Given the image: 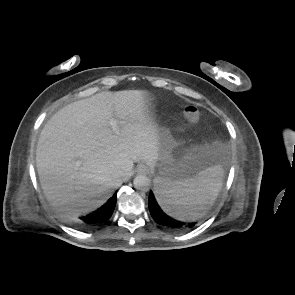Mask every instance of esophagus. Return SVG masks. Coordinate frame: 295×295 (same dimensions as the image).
I'll return each instance as SVG.
<instances>
[{
  "label": "esophagus",
  "instance_id": "1",
  "mask_svg": "<svg viewBox=\"0 0 295 295\" xmlns=\"http://www.w3.org/2000/svg\"><path fill=\"white\" fill-rule=\"evenodd\" d=\"M136 171L139 174H146L148 172V167L144 164H139L136 168Z\"/></svg>",
  "mask_w": 295,
  "mask_h": 295
}]
</instances>
